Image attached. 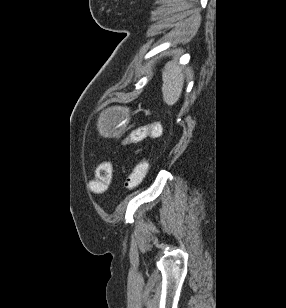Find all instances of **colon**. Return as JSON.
<instances>
[{
    "label": "colon",
    "mask_w": 286,
    "mask_h": 308,
    "mask_svg": "<svg viewBox=\"0 0 286 308\" xmlns=\"http://www.w3.org/2000/svg\"><path fill=\"white\" fill-rule=\"evenodd\" d=\"M160 133V124H148L132 130L126 137V144H135L143 141L149 136H157ZM149 162L142 159L137 162L125 179L124 187L126 190H134L143 182L148 171ZM113 164L111 161L101 162L95 172V178L89 183V188L94 192H105L112 181Z\"/></svg>",
    "instance_id": "obj_1"
}]
</instances>
